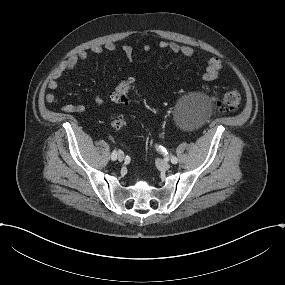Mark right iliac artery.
<instances>
[{"label": "right iliac artery", "mask_w": 285, "mask_h": 285, "mask_svg": "<svg viewBox=\"0 0 285 285\" xmlns=\"http://www.w3.org/2000/svg\"><path fill=\"white\" fill-rule=\"evenodd\" d=\"M111 159L115 161L117 159V152L114 150L111 154Z\"/></svg>", "instance_id": "right-iliac-artery-1"}]
</instances>
